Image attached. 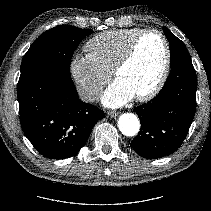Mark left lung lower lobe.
Masks as SVG:
<instances>
[{"label": "left lung lower lobe", "instance_id": "1", "mask_svg": "<svg viewBox=\"0 0 211 211\" xmlns=\"http://www.w3.org/2000/svg\"><path fill=\"white\" fill-rule=\"evenodd\" d=\"M196 72L191 59L171 66L159 94L134 111L141 130L130 146L143 158L152 159L175 152L183 143L196 109Z\"/></svg>", "mask_w": 211, "mask_h": 211}]
</instances>
